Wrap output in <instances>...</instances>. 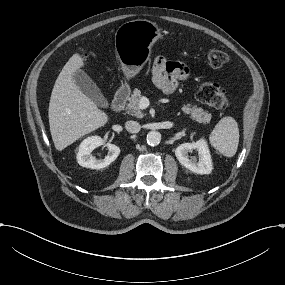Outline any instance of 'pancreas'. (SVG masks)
<instances>
[{
	"mask_svg": "<svg viewBox=\"0 0 285 285\" xmlns=\"http://www.w3.org/2000/svg\"><path fill=\"white\" fill-rule=\"evenodd\" d=\"M142 97V93L139 89H135L133 94L131 95L129 104L126 106V111L129 113H133L138 118H142L143 115L138 109V103ZM182 111L189 115V118L199 124L207 125V123L211 120V114L204 113V109L198 107V105L193 103H187L182 106Z\"/></svg>",
	"mask_w": 285,
	"mask_h": 285,
	"instance_id": "pancreas-1",
	"label": "pancreas"
}]
</instances>
